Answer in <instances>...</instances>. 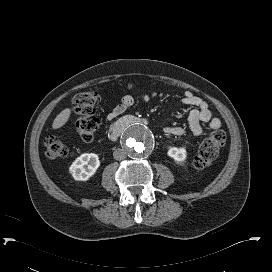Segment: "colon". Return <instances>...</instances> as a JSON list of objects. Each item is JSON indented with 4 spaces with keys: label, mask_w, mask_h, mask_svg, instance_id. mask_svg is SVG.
Returning a JSON list of instances; mask_svg holds the SVG:
<instances>
[{
    "label": "colon",
    "mask_w": 272,
    "mask_h": 272,
    "mask_svg": "<svg viewBox=\"0 0 272 272\" xmlns=\"http://www.w3.org/2000/svg\"><path fill=\"white\" fill-rule=\"evenodd\" d=\"M100 95L97 91H86L74 97L73 110L76 117L75 129L83 142L92 140L98 126L97 106ZM226 134L223 130L212 132L200 145L194 165L197 169L210 166L225 145ZM46 154L49 158L64 157L68 148L61 136L50 134L45 138Z\"/></svg>",
    "instance_id": "obj_1"
}]
</instances>
